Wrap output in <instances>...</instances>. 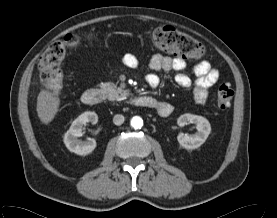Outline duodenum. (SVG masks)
<instances>
[{
  "mask_svg": "<svg viewBox=\"0 0 277 218\" xmlns=\"http://www.w3.org/2000/svg\"><path fill=\"white\" fill-rule=\"evenodd\" d=\"M101 101H102L101 93L97 88H88L82 94V102L86 105H91V106L97 105ZM131 103L138 107L156 109L157 112L159 108L164 106V103L148 95L135 96L131 99ZM165 109H166V115H162V116H168L171 113L170 106L165 105Z\"/></svg>",
  "mask_w": 277,
  "mask_h": 218,
  "instance_id": "obj_1",
  "label": "duodenum"
}]
</instances>
